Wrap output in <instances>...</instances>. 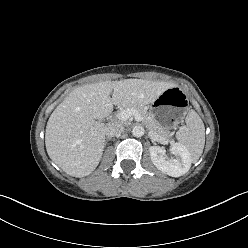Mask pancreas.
Returning a JSON list of instances; mask_svg holds the SVG:
<instances>
[{
    "label": "pancreas",
    "mask_w": 248,
    "mask_h": 248,
    "mask_svg": "<svg viewBox=\"0 0 248 248\" xmlns=\"http://www.w3.org/2000/svg\"><path fill=\"white\" fill-rule=\"evenodd\" d=\"M127 108H135L142 117V122L146 124V126L160 138L167 139L170 137V132L164 127L160 126L155 120H153L147 110L143 107H126Z\"/></svg>",
    "instance_id": "cf45deb5"
}]
</instances>
